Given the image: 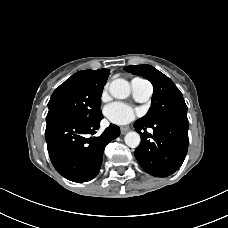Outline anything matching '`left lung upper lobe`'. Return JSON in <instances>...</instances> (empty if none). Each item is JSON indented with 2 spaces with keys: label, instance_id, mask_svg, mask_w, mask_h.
Wrapping results in <instances>:
<instances>
[{
  "label": "left lung upper lobe",
  "instance_id": "obj_1",
  "mask_svg": "<svg viewBox=\"0 0 228 228\" xmlns=\"http://www.w3.org/2000/svg\"><path fill=\"white\" fill-rule=\"evenodd\" d=\"M125 71L148 79L153 87L152 104L148 113L138 119L142 123H153L156 120L179 110H187L182 93L166 75L151 65L127 66Z\"/></svg>",
  "mask_w": 228,
  "mask_h": 228
}]
</instances>
